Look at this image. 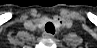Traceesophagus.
I'll list each match as a JSON object with an SVG mask.
<instances>
[{
	"label": "esophagus",
	"instance_id": "obj_1",
	"mask_svg": "<svg viewBox=\"0 0 97 48\" xmlns=\"http://www.w3.org/2000/svg\"><path fill=\"white\" fill-rule=\"evenodd\" d=\"M43 37L45 38H54V35L51 33H43Z\"/></svg>",
	"mask_w": 97,
	"mask_h": 48
}]
</instances>
